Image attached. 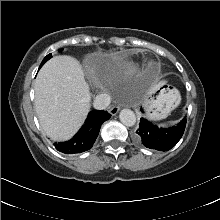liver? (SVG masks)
Returning <instances> with one entry per match:
<instances>
[{
    "mask_svg": "<svg viewBox=\"0 0 220 220\" xmlns=\"http://www.w3.org/2000/svg\"><path fill=\"white\" fill-rule=\"evenodd\" d=\"M35 107L48 137L70 139L90 110L89 85L80 63L59 55L46 62L35 80Z\"/></svg>",
    "mask_w": 220,
    "mask_h": 220,
    "instance_id": "liver-1",
    "label": "liver"
}]
</instances>
